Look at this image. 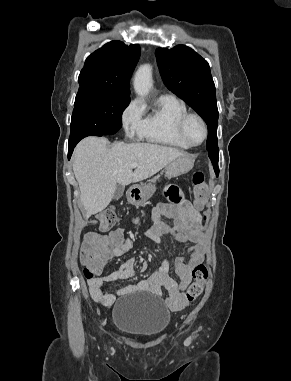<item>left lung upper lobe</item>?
<instances>
[{
    "instance_id": "5c2ea615",
    "label": "left lung upper lobe",
    "mask_w": 291,
    "mask_h": 381,
    "mask_svg": "<svg viewBox=\"0 0 291 381\" xmlns=\"http://www.w3.org/2000/svg\"><path fill=\"white\" fill-rule=\"evenodd\" d=\"M157 63L164 84L190 105L208 127L207 150L212 163H218V109L215 85L209 64L193 49L177 45L156 50Z\"/></svg>"
}]
</instances>
